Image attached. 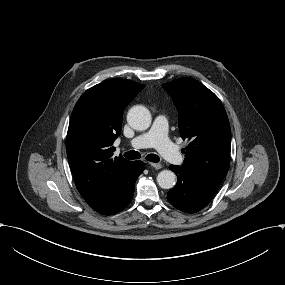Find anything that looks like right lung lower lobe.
<instances>
[{
    "label": "right lung lower lobe",
    "instance_id": "right-lung-lower-lobe-1",
    "mask_svg": "<svg viewBox=\"0 0 285 285\" xmlns=\"http://www.w3.org/2000/svg\"><path fill=\"white\" fill-rule=\"evenodd\" d=\"M144 170L142 161H133L117 179L111 193L100 204L92 207L103 215H112L123 210L132 200L136 179Z\"/></svg>",
    "mask_w": 285,
    "mask_h": 285
}]
</instances>
